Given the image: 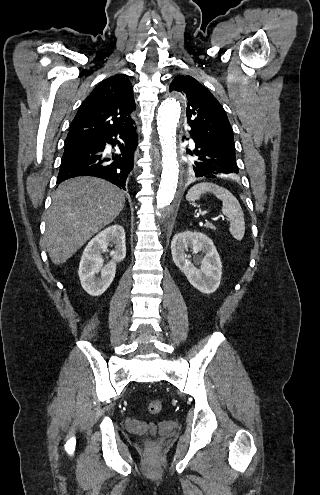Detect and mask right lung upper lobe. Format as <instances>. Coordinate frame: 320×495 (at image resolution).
<instances>
[{
  "label": "right lung upper lobe",
  "mask_w": 320,
  "mask_h": 495,
  "mask_svg": "<svg viewBox=\"0 0 320 495\" xmlns=\"http://www.w3.org/2000/svg\"><path fill=\"white\" fill-rule=\"evenodd\" d=\"M133 89L126 75H114L100 82L81 104L66 142L77 141L133 125Z\"/></svg>",
  "instance_id": "1"
}]
</instances>
